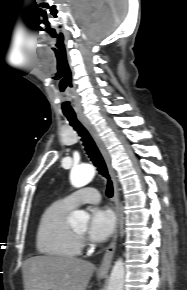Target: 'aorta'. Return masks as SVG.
Segmentation results:
<instances>
[{"mask_svg": "<svg viewBox=\"0 0 187 290\" xmlns=\"http://www.w3.org/2000/svg\"><path fill=\"white\" fill-rule=\"evenodd\" d=\"M95 176V168L92 165L75 166L71 170V184L80 188L87 185ZM89 220V215L85 211H74L70 217V225L72 227H86ZM125 279V268L122 259H118L111 271L107 290H123Z\"/></svg>", "mask_w": 187, "mask_h": 290, "instance_id": "aorta-1", "label": "aorta"}]
</instances>
